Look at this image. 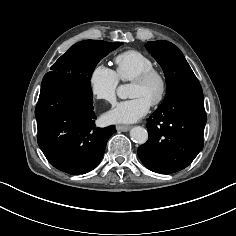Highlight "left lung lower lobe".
<instances>
[{
    "mask_svg": "<svg viewBox=\"0 0 236 236\" xmlns=\"http://www.w3.org/2000/svg\"><path fill=\"white\" fill-rule=\"evenodd\" d=\"M206 120L200 83L178 89L147 119L149 137L138 148L140 160L161 174L186 168L203 148Z\"/></svg>",
    "mask_w": 236,
    "mask_h": 236,
    "instance_id": "1",
    "label": "left lung lower lobe"
}]
</instances>
